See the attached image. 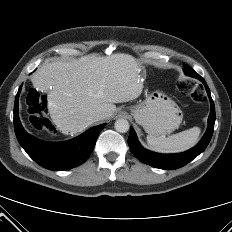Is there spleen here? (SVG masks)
<instances>
[{"label":"spleen","instance_id":"1","mask_svg":"<svg viewBox=\"0 0 232 232\" xmlns=\"http://www.w3.org/2000/svg\"><path fill=\"white\" fill-rule=\"evenodd\" d=\"M200 135V128L193 127L186 131L171 135L167 138L147 135L149 147L161 153H178L193 147Z\"/></svg>","mask_w":232,"mask_h":232}]
</instances>
